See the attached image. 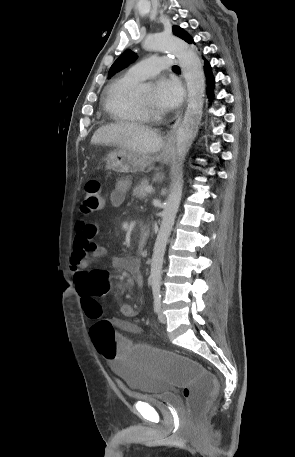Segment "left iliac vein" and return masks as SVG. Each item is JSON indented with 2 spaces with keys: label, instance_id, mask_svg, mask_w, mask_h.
Wrapping results in <instances>:
<instances>
[{
  "label": "left iliac vein",
  "instance_id": "1",
  "mask_svg": "<svg viewBox=\"0 0 295 457\" xmlns=\"http://www.w3.org/2000/svg\"><path fill=\"white\" fill-rule=\"evenodd\" d=\"M158 319L161 323H165L166 322V316L164 315V313L162 312V310H159V313H158Z\"/></svg>",
  "mask_w": 295,
  "mask_h": 457
}]
</instances>
